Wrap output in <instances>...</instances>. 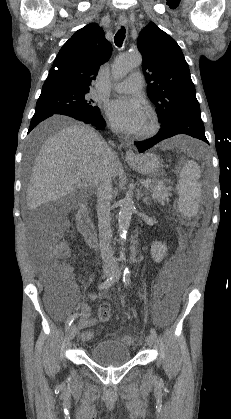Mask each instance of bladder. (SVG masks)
I'll use <instances>...</instances> for the list:
<instances>
[{
    "label": "bladder",
    "instance_id": "bladder-1",
    "mask_svg": "<svg viewBox=\"0 0 231 419\" xmlns=\"http://www.w3.org/2000/svg\"><path fill=\"white\" fill-rule=\"evenodd\" d=\"M90 359L104 367H117L131 359L129 347L122 341L108 339L98 342L90 350Z\"/></svg>",
    "mask_w": 231,
    "mask_h": 419
}]
</instances>
